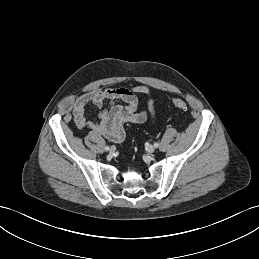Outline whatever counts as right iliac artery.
Here are the masks:
<instances>
[{
  "mask_svg": "<svg viewBox=\"0 0 259 259\" xmlns=\"http://www.w3.org/2000/svg\"><path fill=\"white\" fill-rule=\"evenodd\" d=\"M109 149H110L109 146H106V147H105V150H106V151H108Z\"/></svg>",
  "mask_w": 259,
  "mask_h": 259,
  "instance_id": "1",
  "label": "right iliac artery"
}]
</instances>
